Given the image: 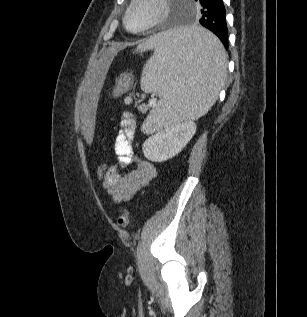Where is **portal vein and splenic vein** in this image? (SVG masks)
Segmentation results:
<instances>
[{
	"label": "portal vein and splenic vein",
	"instance_id": "portal-vein-and-splenic-vein-1",
	"mask_svg": "<svg viewBox=\"0 0 307 317\" xmlns=\"http://www.w3.org/2000/svg\"><path fill=\"white\" fill-rule=\"evenodd\" d=\"M155 104H156V99L154 98L150 101V105H155Z\"/></svg>",
	"mask_w": 307,
	"mask_h": 317
}]
</instances>
